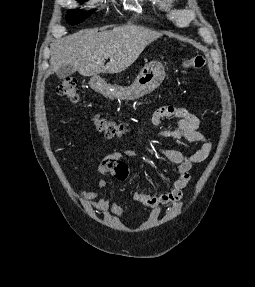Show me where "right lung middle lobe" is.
I'll use <instances>...</instances> for the list:
<instances>
[{"mask_svg":"<svg viewBox=\"0 0 255 287\" xmlns=\"http://www.w3.org/2000/svg\"><path fill=\"white\" fill-rule=\"evenodd\" d=\"M78 1L83 2L86 0H78ZM90 14H91V12H88V13L82 15L81 10H71L68 13L67 21L74 25V24H77V23L84 21L86 19V17L89 16Z\"/></svg>","mask_w":255,"mask_h":287,"instance_id":"dd1d6c3e","label":"right lung middle lobe"}]
</instances>
